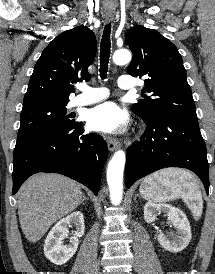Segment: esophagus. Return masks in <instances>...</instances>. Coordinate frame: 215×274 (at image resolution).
I'll return each mask as SVG.
<instances>
[{"instance_id":"esophagus-1","label":"esophagus","mask_w":215,"mask_h":274,"mask_svg":"<svg viewBox=\"0 0 215 274\" xmlns=\"http://www.w3.org/2000/svg\"><path fill=\"white\" fill-rule=\"evenodd\" d=\"M113 17H114V16H113L112 13H107V14H106V19H107L108 21L112 20ZM107 145H108V149H109L110 151H114V150H116V149H118V148L121 147L120 142L117 141V140H114V139H109V140L107 141Z\"/></svg>"}]
</instances>
